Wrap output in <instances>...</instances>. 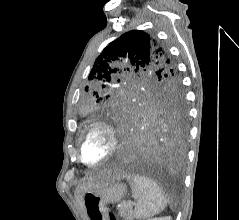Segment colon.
Wrapping results in <instances>:
<instances>
[{
	"label": "colon",
	"instance_id": "obj_1",
	"mask_svg": "<svg viewBox=\"0 0 239 220\" xmlns=\"http://www.w3.org/2000/svg\"><path fill=\"white\" fill-rule=\"evenodd\" d=\"M92 220H100V219L97 217H92ZM111 220H115L114 217H111Z\"/></svg>",
	"mask_w": 239,
	"mask_h": 220
}]
</instances>
